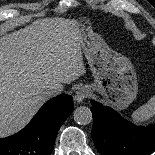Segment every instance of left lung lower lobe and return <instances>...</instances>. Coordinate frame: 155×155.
Listing matches in <instances>:
<instances>
[{"label":"left lung lower lobe","mask_w":155,"mask_h":155,"mask_svg":"<svg viewBox=\"0 0 155 155\" xmlns=\"http://www.w3.org/2000/svg\"><path fill=\"white\" fill-rule=\"evenodd\" d=\"M91 136L101 155H148L155 150V124L135 126L112 108L91 101Z\"/></svg>","instance_id":"1"}]
</instances>
